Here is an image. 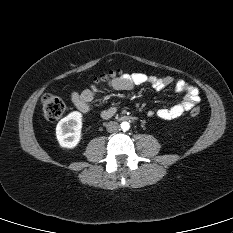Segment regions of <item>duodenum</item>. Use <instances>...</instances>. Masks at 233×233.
Here are the masks:
<instances>
[{
	"label": "duodenum",
	"instance_id": "obj_1",
	"mask_svg": "<svg viewBox=\"0 0 233 233\" xmlns=\"http://www.w3.org/2000/svg\"><path fill=\"white\" fill-rule=\"evenodd\" d=\"M120 119L121 120H133L134 117L133 116H122Z\"/></svg>",
	"mask_w": 233,
	"mask_h": 233
}]
</instances>
